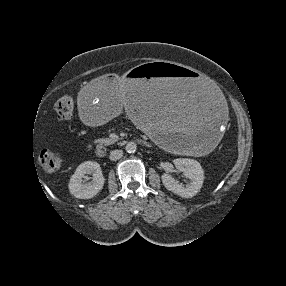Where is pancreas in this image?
<instances>
[{
	"label": "pancreas",
	"mask_w": 286,
	"mask_h": 286,
	"mask_svg": "<svg viewBox=\"0 0 286 286\" xmlns=\"http://www.w3.org/2000/svg\"><path fill=\"white\" fill-rule=\"evenodd\" d=\"M119 138L115 137V138H103V139H97L96 143H98L99 145H110L115 143Z\"/></svg>",
	"instance_id": "obj_1"
}]
</instances>
